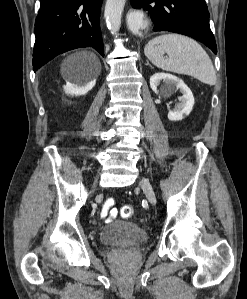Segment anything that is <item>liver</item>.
<instances>
[{
  "label": "liver",
  "mask_w": 247,
  "mask_h": 299,
  "mask_svg": "<svg viewBox=\"0 0 247 299\" xmlns=\"http://www.w3.org/2000/svg\"><path fill=\"white\" fill-rule=\"evenodd\" d=\"M76 56L88 60L91 63V65L96 69V75L99 74L101 70V64L98 57L94 53L90 51H81L76 53Z\"/></svg>",
  "instance_id": "liver-1"
}]
</instances>
